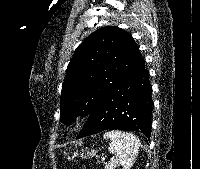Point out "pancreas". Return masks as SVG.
I'll list each match as a JSON object with an SVG mask.
<instances>
[{"label":"pancreas","mask_w":200,"mask_h":169,"mask_svg":"<svg viewBox=\"0 0 200 169\" xmlns=\"http://www.w3.org/2000/svg\"><path fill=\"white\" fill-rule=\"evenodd\" d=\"M118 164V161L115 160H111L108 163L105 164V169H114Z\"/></svg>","instance_id":"1"}]
</instances>
